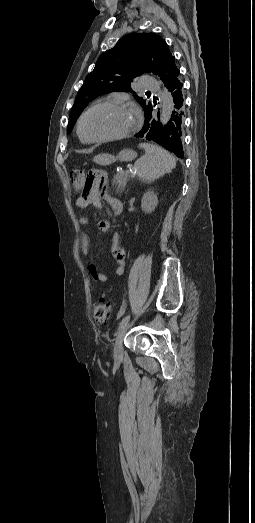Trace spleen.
Segmentation results:
<instances>
[{"mask_svg":"<svg viewBox=\"0 0 255 523\" xmlns=\"http://www.w3.org/2000/svg\"><path fill=\"white\" fill-rule=\"evenodd\" d=\"M139 148H143L145 154L135 162L134 166L137 176L144 182H154L176 168V158L167 150L153 144H140Z\"/></svg>","mask_w":255,"mask_h":523,"instance_id":"obj_1","label":"spleen"}]
</instances>
